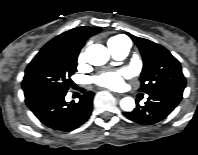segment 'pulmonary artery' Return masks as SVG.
Returning <instances> with one entry per match:
<instances>
[{"mask_svg": "<svg viewBox=\"0 0 198 155\" xmlns=\"http://www.w3.org/2000/svg\"><path fill=\"white\" fill-rule=\"evenodd\" d=\"M130 45L129 40L124 37H119L108 42L109 50L116 59L125 58L129 53Z\"/></svg>", "mask_w": 198, "mask_h": 155, "instance_id": "e3ab8cb5", "label": "pulmonary artery"}]
</instances>
